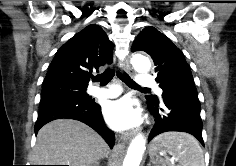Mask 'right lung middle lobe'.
I'll return each instance as SVG.
<instances>
[{
  "label": "right lung middle lobe",
  "mask_w": 236,
  "mask_h": 166,
  "mask_svg": "<svg viewBox=\"0 0 236 166\" xmlns=\"http://www.w3.org/2000/svg\"><path fill=\"white\" fill-rule=\"evenodd\" d=\"M87 87H78L74 86L72 90V95L76 96L77 98H80L83 101L89 100L90 97L86 93Z\"/></svg>",
  "instance_id": "1"
}]
</instances>
